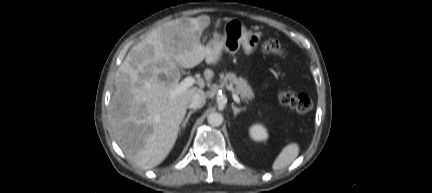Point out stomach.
Wrapping results in <instances>:
<instances>
[{"mask_svg": "<svg viewBox=\"0 0 432 193\" xmlns=\"http://www.w3.org/2000/svg\"><path fill=\"white\" fill-rule=\"evenodd\" d=\"M224 50L229 53H236L240 47L245 54H252L261 41V33L247 30L238 19H231L224 25L223 30Z\"/></svg>", "mask_w": 432, "mask_h": 193, "instance_id": "1", "label": "stomach"}]
</instances>
